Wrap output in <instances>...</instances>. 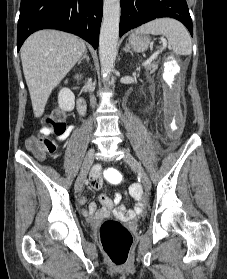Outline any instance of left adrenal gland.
Wrapping results in <instances>:
<instances>
[{"label": "left adrenal gland", "instance_id": "1", "mask_svg": "<svg viewBox=\"0 0 227 279\" xmlns=\"http://www.w3.org/2000/svg\"><path fill=\"white\" fill-rule=\"evenodd\" d=\"M123 51H125V52H130V53L132 54V51L130 50V45H129V44H127V45L125 46V48L123 49Z\"/></svg>", "mask_w": 227, "mask_h": 279}]
</instances>
